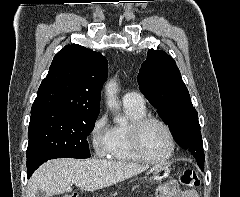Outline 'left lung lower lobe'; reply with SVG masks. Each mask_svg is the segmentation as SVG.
Segmentation results:
<instances>
[{
	"label": "left lung lower lobe",
	"mask_w": 240,
	"mask_h": 197,
	"mask_svg": "<svg viewBox=\"0 0 240 197\" xmlns=\"http://www.w3.org/2000/svg\"><path fill=\"white\" fill-rule=\"evenodd\" d=\"M199 167L201 168V170H204V163L200 164Z\"/></svg>",
	"instance_id": "left-lung-lower-lobe-1"
}]
</instances>
